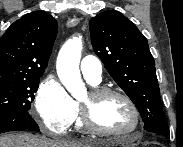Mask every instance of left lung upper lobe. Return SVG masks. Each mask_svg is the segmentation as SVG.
Returning a JSON list of instances; mask_svg holds the SVG:
<instances>
[{
    "label": "left lung upper lobe",
    "mask_w": 183,
    "mask_h": 147,
    "mask_svg": "<svg viewBox=\"0 0 183 147\" xmlns=\"http://www.w3.org/2000/svg\"><path fill=\"white\" fill-rule=\"evenodd\" d=\"M89 28L94 51L141 113L145 130L169 137L147 39L133 22L115 10L92 17Z\"/></svg>",
    "instance_id": "left-lung-upper-lobe-1"
}]
</instances>
